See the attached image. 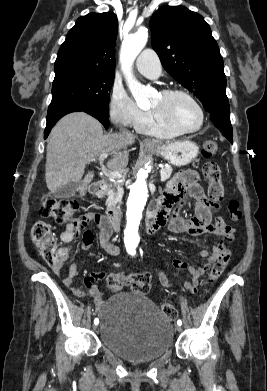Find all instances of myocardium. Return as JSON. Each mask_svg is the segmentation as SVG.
<instances>
[{"label":"myocardium","instance_id":"f54148a6","mask_svg":"<svg viewBox=\"0 0 267 391\" xmlns=\"http://www.w3.org/2000/svg\"><path fill=\"white\" fill-rule=\"evenodd\" d=\"M160 95L163 98H169L173 95H182L186 98H188L197 108L199 114H200V122L199 125L196 128L193 129H184L179 127L178 125L174 124L172 121H170L167 117H165L159 110L152 109V113L156 119V121L163 126L168 127L169 129L178 132L179 134H187V133H195L200 131L205 124V112L200 104V102L188 91L180 88H168L161 91Z\"/></svg>","mask_w":267,"mask_h":391}]
</instances>
